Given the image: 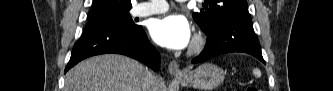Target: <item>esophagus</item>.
I'll return each mask as SVG.
<instances>
[{"instance_id":"1","label":"esophagus","mask_w":333,"mask_h":91,"mask_svg":"<svg viewBox=\"0 0 333 91\" xmlns=\"http://www.w3.org/2000/svg\"><path fill=\"white\" fill-rule=\"evenodd\" d=\"M169 73L174 77H179L182 72L179 69V64L176 61H171L168 66Z\"/></svg>"}]
</instances>
